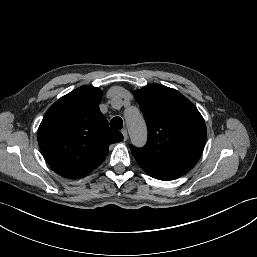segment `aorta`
I'll list each match as a JSON object with an SVG mask.
<instances>
[{"instance_id": "obj_1", "label": "aorta", "mask_w": 257, "mask_h": 257, "mask_svg": "<svg viewBox=\"0 0 257 257\" xmlns=\"http://www.w3.org/2000/svg\"><path fill=\"white\" fill-rule=\"evenodd\" d=\"M126 122L129 127L132 141L141 145L146 141V126L144 120L137 109H132L126 113Z\"/></svg>"}]
</instances>
